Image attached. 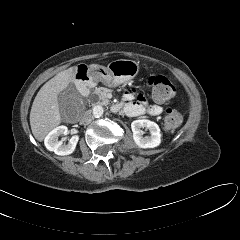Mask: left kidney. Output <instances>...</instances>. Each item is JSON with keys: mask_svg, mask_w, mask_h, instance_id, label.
Here are the masks:
<instances>
[{"mask_svg": "<svg viewBox=\"0 0 240 240\" xmlns=\"http://www.w3.org/2000/svg\"><path fill=\"white\" fill-rule=\"evenodd\" d=\"M147 128L150 136L143 137L142 129ZM133 140L140 148H155L161 143V134L159 126L150 120L140 119L131 123Z\"/></svg>", "mask_w": 240, "mask_h": 240, "instance_id": "obj_1", "label": "left kidney"}]
</instances>
